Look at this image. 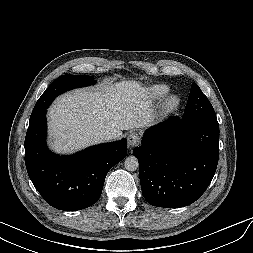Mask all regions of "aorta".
Instances as JSON below:
<instances>
[{
  "label": "aorta",
  "instance_id": "1",
  "mask_svg": "<svg viewBox=\"0 0 253 253\" xmlns=\"http://www.w3.org/2000/svg\"><path fill=\"white\" fill-rule=\"evenodd\" d=\"M124 166L127 171H136L139 167L138 159L135 156H129L125 159Z\"/></svg>",
  "mask_w": 253,
  "mask_h": 253
}]
</instances>
